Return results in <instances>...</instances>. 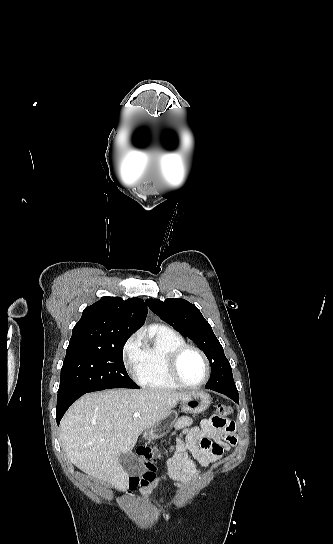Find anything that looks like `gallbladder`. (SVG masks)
I'll return each mask as SVG.
<instances>
[{
	"label": "gallbladder",
	"instance_id": "1",
	"mask_svg": "<svg viewBox=\"0 0 333 544\" xmlns=\"http://www.w3.org/2000/svg\"><path fill=\"white\" fill-rule=\"evenodd\" d=\"M118 460L130 476H140L141 474H143V464L138 456H136L134 453H119Z\"/></svg>",
	"mask_w": 333,
	"mask_h": 544
}]
</instances>
